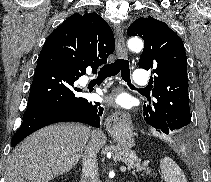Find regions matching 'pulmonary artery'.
Returning <instances> with one entry per match:
<instances>
[{
    "label": "pulmonary artery",
    "mask_w": 211,
    "mask_h": 182,
    "mask_svg": "<svg viewBox=\"0 0 211 182\" xmlns=\"http://www.w3.org/2000/svg\"><path fill=\"white\" fill-rule=\"evenodd\" d=\"M133 81L138 85H145L148 81V76L144 70L136 69L133 73Z\"/></svg>",
    "instance_id": "1"
}]
</instances>
